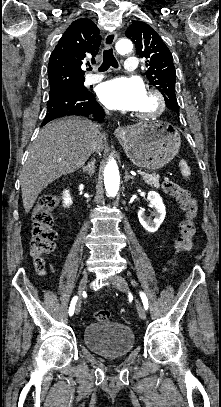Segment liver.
<instances>
[{
    "mask_svg": "<svg viewBox=\"0 0 221 407\" xmlns=\"http://www.w3.org/2000/svg\"><path fill=\"white\" fill-rule=\"evenodd\" d=\"M97 138L101 152L107 143L106 135L100 134L92 121L80 117L58 119L41 129L29 149L20 176L26 213L49 184L85 164Z\"/></svg>",
    "mask_w": 221,
    "mask_h": 407,
    "instance_id": "1",
    "label": "liver"
}]
</instances>
